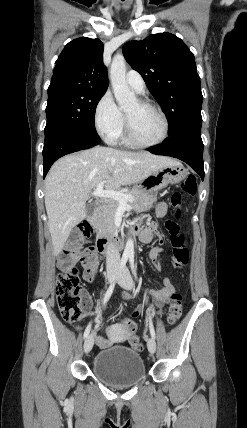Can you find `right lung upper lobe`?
<instances>
[{"label": "right lung upper lobe", "instance_id": "1", "mask_svg": "<svg viewBox=\"0 0 247 428\" xmlns=\"http://www.w3.org/2000/svg\"><path fill=\"white\" fill-rule=\"evenodd\" d=\"M103 48L98 39L83 37L69 42L58 57L48 93L65 89L106 91Z\"/></svg>", "mask_w": 247, "mask_h": 428}]
</instances>
